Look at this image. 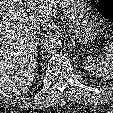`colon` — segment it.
<instances>
[{"instance_id": "5ec220e1", "label": "colon", "mask_w": 113, "mask_h": 113, "mask_svg": "<svg viewBox=\"0 0 113 113\" xmlns=\"http://www.w3.org/2000/svg\"><path fill=\"white\" fill-rule=\"evenodd\" d=\"M97 11L103 19L113 21V0H98Z\"/></svg>"}]
</instances>
